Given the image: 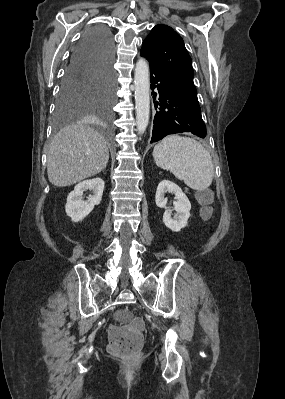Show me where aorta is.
<instances>
[{
  "instance_id": "762f6f07",
  "label": "aorta",
  "mask_w": 285,
  "mask_h": 399,
  "mask_svg": "<svg viewBox=\"0 0 285 399\" xmlns=\"http://www.w3.org/2000/svg\"><path fill=\"white\" fill-rule=\"evenodd\" d=\"M134 83L136 125L138 134H142L148 126L150 115L149 65L144 58L136 63Z\"/></svg>"
}]
</instances>
